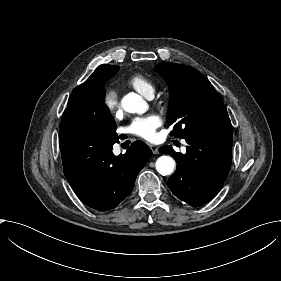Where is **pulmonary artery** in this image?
Instances as JSON below:
<instances>
[{
	"mask_svg": "<svg viewBox=\"0 0 281 281\" xmlns=\"http://www.w3.org/2000/svg\"><path fill=\"white\" fill-rule=\"evenodd\" d=\"M152 98H153V96H151V95L148 96V99H152ZM114 153H115V154H118V153H119V148H118V147H115V148H114Z\"/></svg>",
	"mask_w": 281,
	"mask_h": 281,
	"instance_id": "e3ab8cb5",
	"label": "pulmonary artery"
}]
</instances>
